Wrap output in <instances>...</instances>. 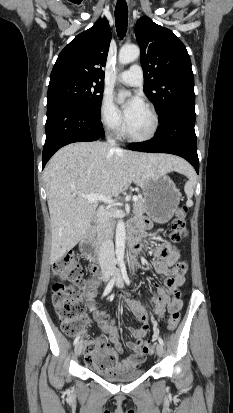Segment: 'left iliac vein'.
<instances>
[{"instance_id": "obj_1", "label": "left iliac vein", "mask_w": 233, "mask_h": 413, "mask_svg": "<svg viewBox=\"0 0 233 413\" xmlns=\"http://www.w3.org/2000/svg\"><path fill=\"white\" fill-rule=\"evenodd\" d=\"M115 275H116V286L118 288H123L124 286L123 278L118 270L115 271ZM156 353L159 357H162L164 354L163 346L160 343L156 345Z\"/></svg>"}]
</instances>
